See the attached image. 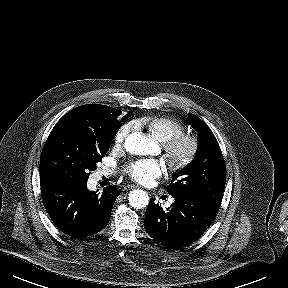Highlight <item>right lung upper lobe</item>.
Wrapping results in <instances>:
<instances>
[{
    "label": "right lung upper lobe",
    "instance_id": "1",
    "mask_svg": "<svg viewBox=\"0 0 288 288\" xmlns=\"http://www.w3.org/2000/svg\"><path fill=\"white\" fill-rule=\"evenodd\" d=\"M105 108V105L99 104H87L83 106H79L74 110L70 111L65 117H81L86 119L87 121L91 122L95 120L100 112Z\"/></svg>",
    "mask_w": 288,
    "mask_h": 288
}]
</instances>
